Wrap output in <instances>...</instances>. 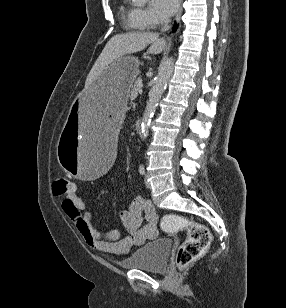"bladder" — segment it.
Instances as JSON below:
<instances>
[{
	"mask_svg": "<svg viewBox=\"0 0 286 308\" xmlns=\"http://www.w3.org/2000/svg\"><path fill=\"white\" fill-rule=\"evenodd\" d=\"M170 249L171 242L168 239H157L133 251L120 260V264L126 269L162 272L167 269Z\"/></svg>",
	"mask_w": 286,
	"mask_h": 308,
	"instance_id": "1",
	"label": "bladder"
}]
</instances>
